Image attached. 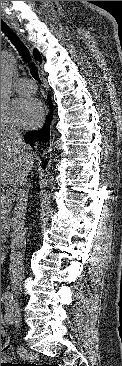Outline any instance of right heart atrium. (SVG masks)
Returning a JSON list of instances; mask_svg holds the SVG:
<instances>
[{
  "label": "right heart atrium",
  "instance_id": "right-heart-atrium-1",
  "mask_svg": "<svg viewBox=\"0 0 122 366\" xmlns=\"http://www.w3.org/2000/svg\"><path fill=\"white\" fill-rule=\"evenodd\" d=\"M15 124L12 122V119L10 120L4 115L1 114V132L8 130V129H14Z\"/></svg>",
  "mask_w": 122,
  "mask_h": 366
}]
</instances>
